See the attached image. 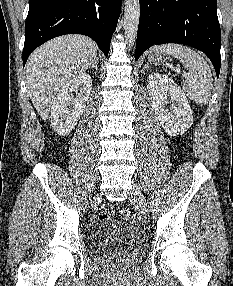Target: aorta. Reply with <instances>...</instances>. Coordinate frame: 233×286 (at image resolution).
I'll return each mask as SVG.
<instances>
[{"label":"aorta","mask_w":233,"mask_h":286,"mask_svg":"<svg viewBox=\"0 0 233 286\" xmlns=\"http://www.w3.org/2000/svg\"><path fill=\"white\" fill-rule=\"evenodd\" d=\"M140 18L139 0H125L124 35L127 45L132 46L135 42Z\"/></svg>","instance_id":"obj_1"}]
</instances>
